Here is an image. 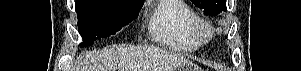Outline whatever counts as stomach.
I'll use <instances>...</instances> for the list:
<instances>
[{
    "label": "stomach",
    "mask_w": 301,
    "mask_h": 71,
    "mask_svg": "<svg viewBox=\"0 0 301 71\" xmlns=\"http://www.w3.org/2000/svg\"><path fill=\"white\" fill-rule=\"evenodd\" d=\"M175 71H199L198 67L192 63L179 66Z\"/></svg>",
    "instance_id": "obj_1"
}]
</instances>
